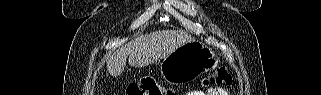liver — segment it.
I'll return each mask as SVG.
<instances>
[{
    "label": "liver",
    "mask_w": 321,
    "mask_h": 95,
    "mask_svg": "<svg viewBox=\"0 0 321 95\" xmlns=\"http://www.w3.org/2000/svg\"><path fill=\"white\" fill-rule=\"evenodd\" d=\"M195 38L183 31L162 30L143 35L116 50L107 61V71L113 77L125 69L127 58L131 66L144 67L164 58Z\"/></svg>",
    "instance_id": "liver-1"
}]
</instances>
